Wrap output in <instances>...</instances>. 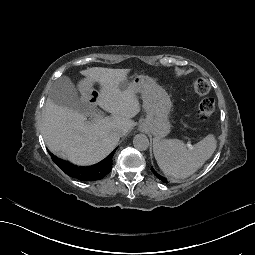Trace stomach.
Masks as SVG:
<instances>
[{
    "label": "stomach",
    "instance_id": "1",
    "mask_svg": "<svg viewBox=\"0 0 255 255\" xmlns=\"http://www.w3.org/2000/svg\"><path fill=\"white\" fill-rule=\"evenodd\" d=\"M152 83L153 80L150 77L136 75L130 84L135 86V92H140L143 97L145 96L146 118L143 119L140 129L148 130L155 136L161 137L170 128L167 116L172 108V103L166 92Z\"/></svg>",
    "mask_w": 255,
    "mask_h": 255
}]
</instances>
